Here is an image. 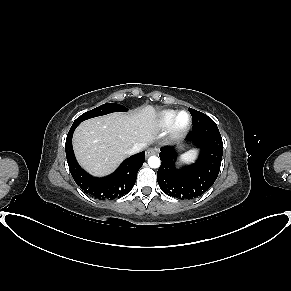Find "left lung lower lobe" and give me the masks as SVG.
Here are the masks:
<instances>
[{"label": "left lung lower lobe", "instance_id": "left-lung-lower-lobe-1", "mask_svg": "<svg viewBox=\"0 0 291 291\" xmlns=\"http://www.w3.org/2000/svg\"><path fill=\"white\" fill-rule=\"evenodd\" d=\"M186 140L200 149L196 162L177 169V149L165 146L159 154L162 163L157 172L161 190L168 196L181 200L197 198L214 184L223 155V142L215 122L193 128Z\"/></svg>", "mask_w": 291, "mask_h": 291}]
</instances>
